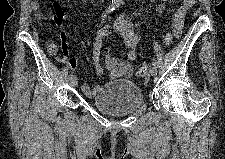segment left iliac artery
Instances as JSON below:
<instances>
[{
  "mask_svg": "<svg viewBox=\"0 0 225 159\" xmlns=\"http://www.w3.org/2000/svg\"><path fill=\"white\" fill-rule=\"evenodd\" d=\"M152 65L155 66V67H158L157 61L156 60H153Z\"/></svg>",
  "mask_w": 225,
  "mask_h": 159,
  "instance_id": "left-iliac-artery-1",
  "label": "left iliac artery"
}]
</instances>
